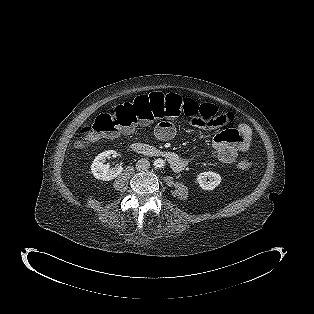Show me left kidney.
<instances>
[{"label":"left kidney","instance_id":"obj_1","mask_svg":"<svg viewBox=\"0 0 314 314\" xmlns=\"http://www.w3.org/2000/svg\"><path fill=\"white\" fill-rule=\"evenodd\" d=\"M203 190H214L221 183V176L215 172H202L196 178Z\"/></svg>","mask_w":314,"mask_h":314}]
</instances>
